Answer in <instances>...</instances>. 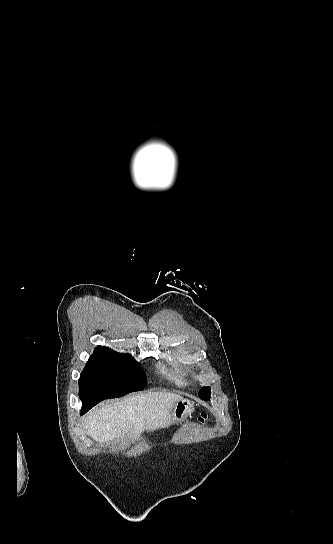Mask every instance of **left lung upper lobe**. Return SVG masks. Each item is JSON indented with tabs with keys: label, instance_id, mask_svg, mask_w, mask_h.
I'll use <instances>...</instances> for the list:
<instances>
[{
	"label": "left lung upper lobe",
	"instance_id": "1",
	"mask_svg": "<svg viewBox=\"0 0 333 544\" xmlns=\"http://www.w3.org/2000/svg\"><path fill=\"white\" fill-rule=\"evenodd\" d=\"M198 396H199L200 398H204V397L210 396V387H203V388L199 391Z\"/></svg>",
	"mask_w": 333,
	"mask_h": 544
}]
</instances>
